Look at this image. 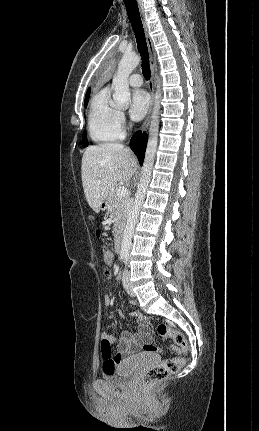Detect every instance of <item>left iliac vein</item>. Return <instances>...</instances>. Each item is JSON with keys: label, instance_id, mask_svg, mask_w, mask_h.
Listing matches in <instances>:
<instances>
[{"label": "left iliac vein", "instance_id": "left-iliac-vein-1", "mask_svg": "<svg viewBox=\"0 0 259 431\" xmlns=\"http://www.w3.org/2000/svg\"><path fill=\"white\" fill-rule=\"evenodd\" d=\"M122 281H123V286H124L125 290L127 291V293L130 296L134 297L135 293L133 291V288H132V285L130 282V273H129L128 269L124 270L123 276H122Z\"/></svg>", "mask_w": 259, "mask_h": 431}]
</instances>
